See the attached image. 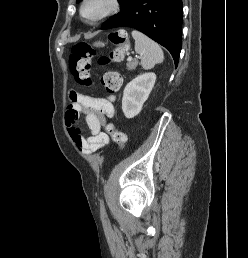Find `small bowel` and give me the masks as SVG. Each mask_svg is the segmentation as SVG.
<instances>
[{
  "mask_svg": "<svg viewBox=\"0 0 248 258\" xmlns=\"http://www.w3.org/2000/svg\"><path fill=\"white\" fill-rule=\"evenodd\" d=\"M117 75L122 82L118 73ZM70 101L66 114V125L68 133L79 152L90 155L109 143V136L103 130L107 118L114 116L113 98H97L72 91L69 94ZM79 115L82 123L87 128L85 135L79 125Z\"/></svg>",
  "mask_w": 248,
  "mask_h": 258,
  "instance_id": "obj_1",
  "label": "small bowel"
}]
</instances>
